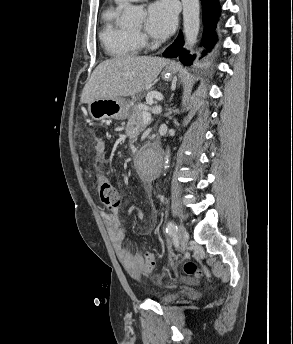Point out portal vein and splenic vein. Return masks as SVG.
<instances>
[{
	"mask_svg": "<svg viewBox=\"0 0 293 344\" xmlns=\"http://www.w3.org/2000/svg\"><path fill=\"white\" fill-rule=\"evenodd\" d=\"M151 120V114L150 112L148 111H143V114H142V121L144 124H148Z\"/></svg>",
	"mask_w": 293,
	"mask_h": 344,
	"instance_id": "obj_1",
	"label": "portal vein and splenic vein"
}]
</instances>
